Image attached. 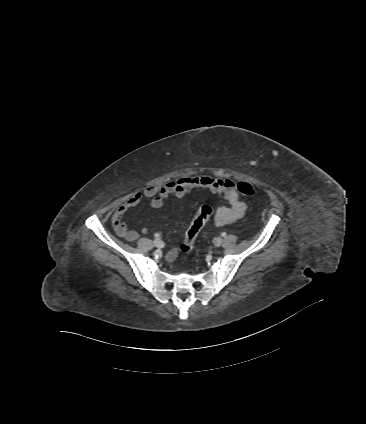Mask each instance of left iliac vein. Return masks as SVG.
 <instances>
[{
    "mask_svg": "<svg viewBox=\"0 0 366 424\" xmlns=\"http://www.w3.org/2000/svg\"><path fill=\"white\" fill-rule=\"evenodd\" d=\"M222 242H223V239L221 238V237H217L215 240H214V244H215V246H220L221 244H222Z\"/></svg>",
    "mask_w": 366,
    "mask_h": 424,
    "instance_id": "obj_1",
    "label": "left iliac vein"
}]
</instances>
